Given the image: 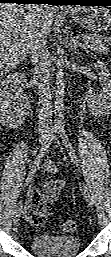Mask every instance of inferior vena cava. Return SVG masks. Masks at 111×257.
I'll list each match as a JSON object with an SVG mask.
<instances>
[{
  "label": "inferior vena cava",
  "instance_id": "obj_1",
  "mask_svg": "<svg viewBox=\"0 0 111 257\" xmlns=\"http://www.w3.org/2000/svg\"><path fill=\"white\" fill-rule=\"evenodd\" d=\"M47 33L38 29L30 45L31 61L34 65L39 95V126L41 130H49L52 123V103L49 82L47 57Z\"/></svg>",
  "mask_w": 111,
  "mask_h": 257
}]
</instances>
